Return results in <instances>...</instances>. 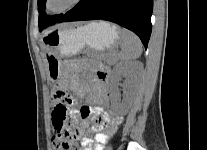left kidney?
I'll list each match as a JSON object with an SVG mask.
<instances>
[{
	"label": "left kidney",
	"mask_w": 207,
	"mask_h": 150,
	"mask_svg": "<svg viewBox=\"0 0 207 150\" xmlns=\"http://www.w3.org/2000/svg\"><path fill=\"white\" fill-rule=\"evenodd\" d=\"M140 74V67L137 62H119L113 69L111 77V104L113 110L120 116H124L130 110L136 95V81ZM121 77L127 78V91L121 101L118 82Z\"/></svg>",
	"instance_id": "left-kidney-1"
}]
</instances>
